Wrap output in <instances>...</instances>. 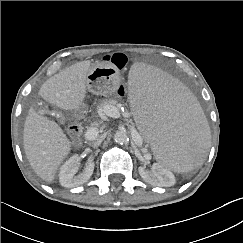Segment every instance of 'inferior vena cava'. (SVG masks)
Segmentation results:
<instances>
[{"instance_id":"602c4592","label":"inferior vena cava","mask_w":243,"mask_h":243,"mask_svg":"<svg viewBox=\"0 0 243 243\" xmlns=\"http://www.w3.org/2000/svg\"><path fill=\"white\" fill-rule=\"evenodd\" d=\"M97 134L93 138L89 139V140H94L92 142V147H94V148H97L101 144V142L103 141L102 138H97Z\"/></svg>"}]
</instances>
